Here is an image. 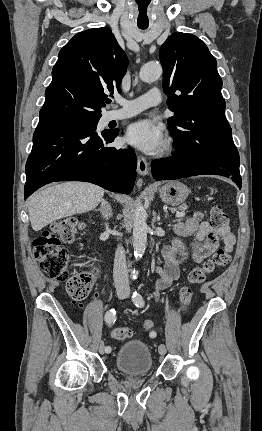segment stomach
I'll use <instances>...</instances> for the list:
<instances>
[{
  "label": "stomach",
  "instance_id": "obj_1",
  "mask_svg": "<svg viewBox=\"0 0 262 431\" xmlns=\"http://www.w3.org/2000/svg\"><path fill=\"white\" fill-rule=\"evenodd\" d=\"M159 196L164 203L172 206L182 204L190 193V189L180 181H169L158 189Z\"/></svg>",
  "mask_w": 262,
  "mask_h": 431
}]
</instances>
